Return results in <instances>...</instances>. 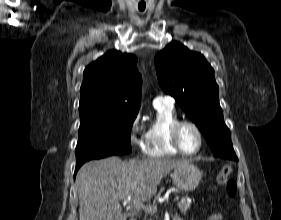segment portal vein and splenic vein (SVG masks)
I'll list each match as a JSON object with an SVG mask.
<instances>
[{"label":"portal vein and splenic vein","mask_w":281,"mask_h":220,"mask_svg":"<svg viewBox=\"0 0 281 220\" xmlns=\"http://www.w3.org/2000/svg\"><path fill=\"white\" fill-rule=\"evenodd\" d=\"M178 200H179V197H175V198L173 199L174 202H177ZM127 201L131 202V206H133V207L136 208V209H141V208H142V209H144V210H146V211H155V210H156L155 207H145V206L142 204L141 201L132 199L131 195H128V196H127Z\"/></svg>","instance_id":"portal-vein-and-splenic-vein-1"}]
</instances>
